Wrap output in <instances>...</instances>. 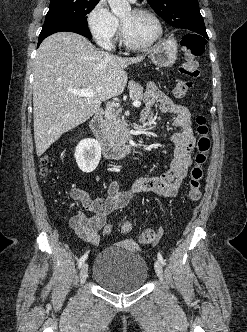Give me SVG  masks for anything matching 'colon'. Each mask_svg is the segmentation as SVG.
<instances>
[{
	"instance_id": "1",
	"label": "colon",
	"mask_w": 247,
	"mask_h": 332,
	"mask_svg": "<svg viewBox=\"0 0 247 332\" xmlns=\"http://www.w3.org/2000/svg\"><path fill=\"white\" fill-rule=\"evenodd\" d=\"M182 48L185 53V60L180 66V72L189 77L196 78L199 75V64L197 57H199L205 50V40L198 34L187 33L182 38ZM193 87V83L190 80H177L174 84V94L176 97L181 98L185 96ZM197 125V153L194 158V165L191 168L188 193L189 197L193 201H197L201 197V183L204 175V166L208 159V154L211 148V141L209 138V128L207 125V119L203 115L196 117ZM49 158L47 156L42 159L41 173L47 176L50 173L48 167ZM132 226L130 222H123L119 226V231L122 234H127L131 231ZM112 232V226L107 224L103 228V233L109 235ZM159 236L153 229L144 230L139 236L141 243L149 244L158 240Z\"/></svg>"
}]
</instances>
